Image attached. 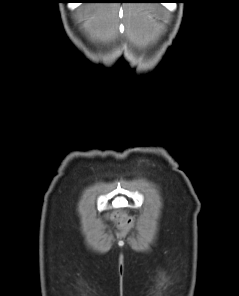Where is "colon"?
Instances as JSON below:
<instances>
[{
	"label": "colon",
	"mask_w": 239,
	"mask_h": 296,
	"mask_svg": "<svg viewBox=\"0 0 239 296\" xmlns=\"http://www.w3.org/2000/svg\"><path fill=\"white\" fill-rule=\"evenodd\" d=\"M115 220L117 224L121 227H130V220L120 211L114 214Z\"/></svg>",
	"instance_id": "colon-1"
}]
</instances>
